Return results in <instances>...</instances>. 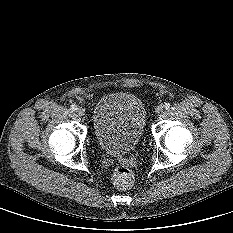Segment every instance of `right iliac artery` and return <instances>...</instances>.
Instances as JSON below:
<instances>
[{
	"mask_svg": "<svg viewBox=\"0 0 233 233\" xmlns=\"http://www.w3.org/2000/svg\"><path fill=\"white\" fill-rule=\"evenodd\" d=\"M70 110H71V111H76V110H77V106H76L75 104H72V105L70 106Z\"/></svg>",
	"mask_w": 233,
	"mask_h": 233,
	"instance_id": "right-iliac-artery-1",
	"label": "right iliac artery"
}]
</instances>
